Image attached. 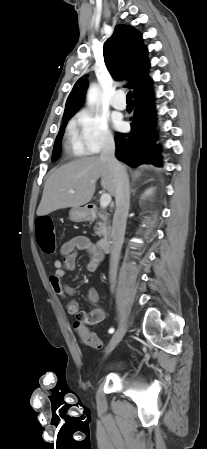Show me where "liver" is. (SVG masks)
<instances>
[{
	"label": "liver",
	"instance_id": "liver-1",
	"mask_svg": "<svg viewBox=\"0 0 207 449\" xmlns=\"http://www.w3.org/2000/svg\"><path fill=\"white\" fill-rule=\"evenodd\" d=\"M99 178L102 188L114 196V173L107 161L100 157H85L60 166L45 183L37 215L44 216L59 209L87 204L93 197Z\"/></svg>",
	"mask_w": 207,
	"mask_h": 449
}]
</instances>
